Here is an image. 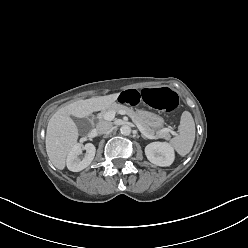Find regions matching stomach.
Returning a JSON list of instances; mask_svg holds the SVG:
<instances>
[{"mask_svg": "<svg viewBox=\"0 0 248 248\" xmlns=\"http://www.w3.org/2000/svg\"><path fill=\"white\" fill-rule=\"evenodd\" d=\"M137 114L148 126H150L153 129L161 128L164 124L163 118L154 113L144 110H139Z\"/></svg>", "mask_w": 248, "mask_h": 248, "instance_id": "stomach-1", "label": "stomach"}]
</instances>
